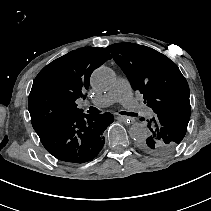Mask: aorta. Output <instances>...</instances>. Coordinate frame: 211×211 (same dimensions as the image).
I'll return each instance as SVG.
<instances>
[{"instance_id":"1","label":"aorta","mask_w":211,"mask_h":211,"mask_svg":"<svg viewBox=\"0 0 211 211\" xmlns=\"http://www.w3.org/2000/svg\"><path fill=\"white\" fill-rule=\"evenodd\" d=\"M116 80L115 73L108 67L101 66L91 76V85L97 90H108ZM129 135L136 141L144 140L149 136L148 128L142 123H133Z\"/></svg>"}]
</instances>
